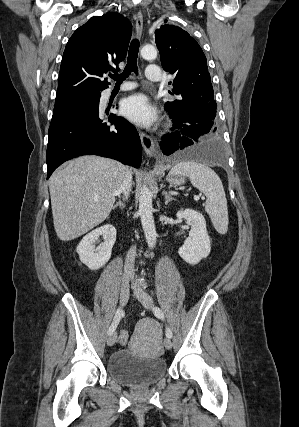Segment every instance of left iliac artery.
Here are the masks:
<instances>
[{
    "label": "left iliac artery",
    "mask_w": 299,
    "mask_h": 427,
    "mask_svg": "<svg viewBox=\"0 0 299 427\" xmlns=\"http://www.w3.org/2000/svg\"><path fill=\"white\" fill-rule=\"evenodd\" d=\"M153 310H154V314L156 315V317H158L160 319H164V313L160 308L155 307ZM166 336L168 338H172V331L168 327L166 328Z\"/></svg>",
    "instance_id": "1"
}]
</instances>
